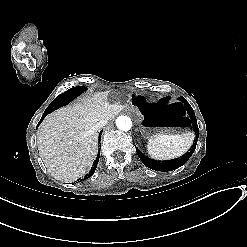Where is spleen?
I'll return each instance as SVG.
<instances>
[{"instance_id": "obj_1", "label": "spleen", "mask_w": 247, "mask_h": 247, "mask_svg": "<svg viewBox=\"0 0 247 247\" xmlns=\"http://www.w3.org/2000/svg\"><path fill=\"white\" fill-rule=\"evenodd\" d=\"M193 139L192 132H183L178 135L156 134L149 139L148 154L160 159L178 157L190 148Z\"/></svg>"}]
</instances>
